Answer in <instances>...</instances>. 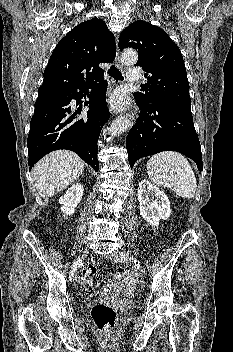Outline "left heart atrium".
Segmentation results:
<instances>
[{
  "mask_svg": "<svg viewBox=\"0 0 233 352\" xmlns=\"http://www.w3.org/2000/svg\"><path fill=\"white\" fill-rule=\"evenodd\" d=\"M125 102H126V99H125L124 95H122V94L118 93L113 97V104L116 107L124 106Z\"/></svg>",
  "mask_w": 233,
  "mask_h": 352,
  "instance_id": "1",
  "label": "left heart atrium"
}]
</instances>
